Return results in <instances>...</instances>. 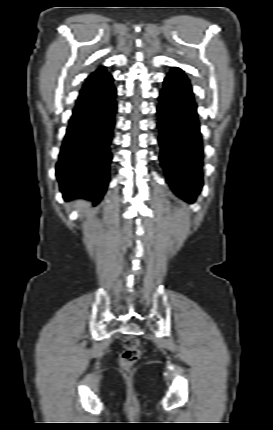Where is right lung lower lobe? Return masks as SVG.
<instances>
[{
    "instance_id": "98d812e1",
    "label": "right lung lower lobe",
    "mask_w": 273,
    "mask_h": 430,
    "mask_svg": "<svg viewBox=\"0 0 273 430\" xmlns=\"http://www.w3.org/2000/svg\"><path fill=\"white\" fill-rule=\"evenodd\" d=\"M112 82L108 75L89 83L73 110L56 165L65 199L81 197L96 205L105 194L117 112Z\"/></svg>"
}]
</instances>
